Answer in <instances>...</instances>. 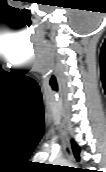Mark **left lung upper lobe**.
Instances as JSON below:
<instances>
[{
  "label": "left lung upper lobe",
  "instance_id": "obj_1",
  "mask_svg": "<svg viewBox=\"0 0 106 172\" xmlns=\"http://www.w3.org/2000/svg\"><path fill=\"white\" fill-rule=\"evenodd\" d=\"M72 149H73V153L76 157L77 160H79V153H80V148L78 147V145L75 143L74 140H72Z\"/></svg>",
  "mask_w": 106,
  "mask_h": 172
}]
</instances>
